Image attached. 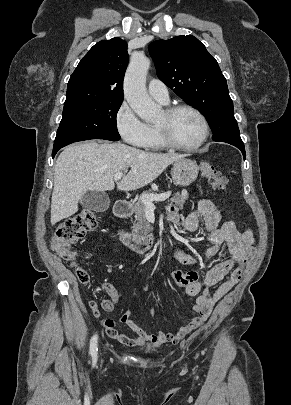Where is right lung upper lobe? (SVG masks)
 I'll return each instance as SVG.
<instances>
[{"mask_svg": "<svg viewBox=\"0 0 291 405\" xmlns=\"http://www.w3.org/2000/svg\"><path fill=\"white\" fill-rule=\"evenodd\" d=\"M128 61L125 40L115 37L98 42L71 75L65 103L123 100V79Z\"/></svg>", "mask_w": 291, "mask_h": 405, "instance_id": "1", "label": "right lung upper lobe"}]
</instances>
